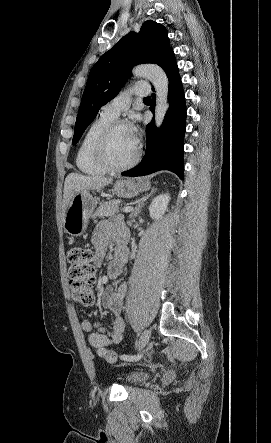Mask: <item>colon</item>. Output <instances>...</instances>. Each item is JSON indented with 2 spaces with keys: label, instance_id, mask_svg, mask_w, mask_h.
<instances>
[{
  "label": "colon",
  "instance_id": "5ec220e1",
  "mask_svg": "<svg viewBox=\"0 0 271 443\" xmlns=\"http://www.w3.org/2000/svg\"><path fill=\"white\" fill-rule=\"evenodd\" d=\"M67 261L69 262L68 276L73 299L83 307H92L95 303L93 250L87 246H73L67 252ZM98 354L109 363H115L118 360L117 354L109 349L102 348Z\"/></svg>",
  "mask_w": 271,
  "mask_h": 443
}]
</instances>
